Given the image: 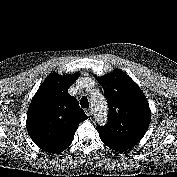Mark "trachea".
Here are the masks:
<instances>
[{"instance_id": "1", "label": "trachea", "mask_w": 177, "mask_h": 177, "mask_svg": "<svg viewBox=\"0 0 177 177\" xmlns=\"http://www.w3.org/2000/svg\"><path fill=\"white\" fill-rule=\"evenodd\" d=\"M80 104L82 108H88L89 107V102L87 97H82L80 100Z\"/></svg>"}]
</instances>
